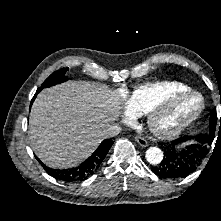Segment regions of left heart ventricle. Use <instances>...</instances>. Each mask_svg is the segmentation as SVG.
Segmentation results:
<instances>
[{
	"instance_id": "1",
	"label": "left heart ventricle",
	"mask_w": 221,
	"mask_h": 221,
	"mask_svg": "<svg viewBox=\"0 0 221 221\" xmlns=\"http://www.w3.org/2000/svg\"><path fill=\"white\" fill-rule=\"evenodd\" d=\"M198 103L199 100L197 98H190L184 101L166 114L164 122L169 125L179 122L188 113H190L198 105Z\"/></svg>"
}]
</instances>
